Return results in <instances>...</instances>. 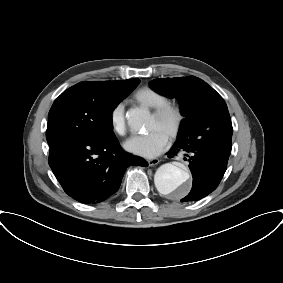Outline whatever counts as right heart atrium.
<instances>
[{
  "label": "right heart atrium",
  "mask_w": 283,
  "mask_h": 283,
  "mask_svg": "<svg viewBox=\"0 0 283 283\" xmlns=\"http://www.w3.org/2000/svg\"><path fill=\"white\" fill-rule=\"evenodd\" d=\"M111 128L119 136L127 132L125 106L122 102L117 103L110 111Z\"/></svg>",
  "instance_id": "obj_1"
}]
</instances>
